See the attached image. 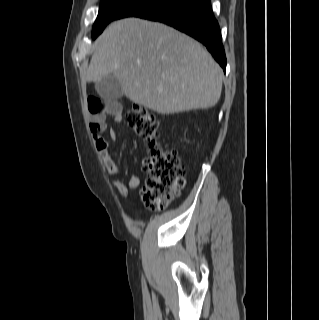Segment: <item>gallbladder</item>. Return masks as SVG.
I'll list each match as a JSON object with an SVG mask.
<instances>
[{"instance_id":"bac80fb5","label":"gallbladder","mask_w":319,"mask_h":320,"mask_svg":"<svg viewBox=\"0 0 319 320\" xmlns=\"http://www.w3.org/2000/svg\"><path fill=\"white\" fill-rule=\"evenodd\" d=\"M96 91L106 101H114L123 96L121 83L113 75H108L96 83Z\"/></svg>"}]
</instances>
